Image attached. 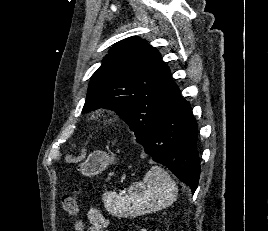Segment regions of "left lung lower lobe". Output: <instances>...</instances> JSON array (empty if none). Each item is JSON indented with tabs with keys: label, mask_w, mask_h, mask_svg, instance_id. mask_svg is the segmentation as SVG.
I'll use <instances>...</instances> for the list:
<instances>
[{
	"label": "left lung lower lobe",
	"mask_w": 268,
	"mask_h": 231,
	"mask_svg": "<svg viewBox=\"0 0 268 231\" xmlns=\"http://www.w3.org/2000/svg\"><path fill=\"white\" fill-rule=\"evenodd\" d=\"M197 138L198 126L190 104L180 93L150 132L137 141L194 193L201 170Z\"/></svg>",
	"instance_id": "1"
}]
</instances>
